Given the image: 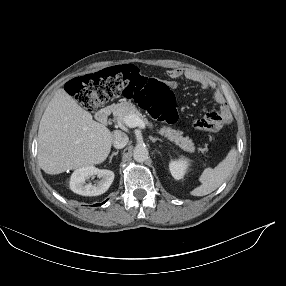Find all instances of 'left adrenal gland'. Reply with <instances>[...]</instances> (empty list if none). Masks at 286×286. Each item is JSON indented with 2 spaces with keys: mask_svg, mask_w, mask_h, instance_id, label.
<instances>
[{
  "mask_svg": "<svg viewBox=\"0 0 286 286\" xmlns=\"http://www.w3.org/2000/svg\"><path fill=\"white\" fill-rule=\"evenodd\" d=\"M149 138H150V140H151L153 143H155L156 141H162L161 138H155V137H153V136H149Z\"/></svg>",
  "mask_w": 286,
  "mask_h": 286,
  "instance_id": "1",
  "label": "left adrenal gland"
}]
</instances>
